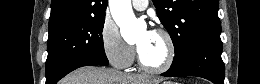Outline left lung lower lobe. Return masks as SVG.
I'll return each instance as SVG.
<instances>
[{
	"label": "left lung lower lobe",
	"instance_id": "obj_1",
	"mask_svg": "<svg viewBox=\"0 0 260 84\" xmlns=\"http://www.w3.org/2000/svg\"><path fill=\"white\" fill-rule=\"evenodd\" d=\"M221 39L207 40L195 45L191 50L162 76H198L214 84H224L225 67L221 58Z\"/></svg>",
	"mask_w": 260,
	"mask_h": 84
}]
</instances>
